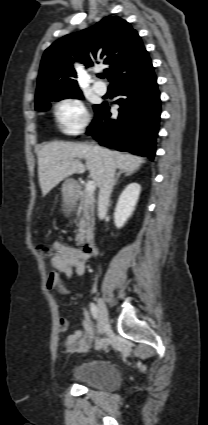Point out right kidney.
<instances>
[{"mask_svg":"<svg viewBox=\"0 0 208 425\" xmlns=\"http://www.w3.org/2000/svg\"><path fill=\"white\" fill-rule=\"evenodd\" d=\"M141 186L138 183L129 184L120 194L114 212V222L117 228H121L135 209Z\"/></svg>","mask_w":208,"mask_h":425,"instance_id":"right-kidney-1","label":"right kidney"}]
</instances>
